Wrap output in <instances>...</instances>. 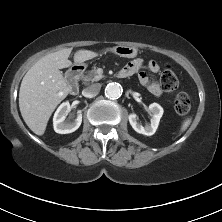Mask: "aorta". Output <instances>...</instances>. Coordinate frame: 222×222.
Instances as JSON below:
<instances>
[{
  "label": "aorta",
  "mask_w": 222,
  "mask_h": 222,
  "mask_svg": "<svg viewBox=\"0 0 222 222\" xmlns=\"http://www.w3.org/2000/svg\"><path fill=\"white\" fill-rule=\"evenodd\" d=\"M105 94L108 98H119L122 95L121 85L118 83H109L105 88Z\"/></svg>",
  "instance_id": "obj_1"
}]
</instances>
